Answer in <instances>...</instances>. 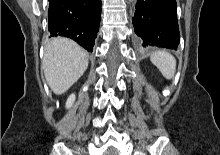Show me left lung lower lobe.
I'll return each mask as SVG.
<instances>
[{
    "label": "left lung lower lobe",
    "instance_id": "0a47b994",
    "mask_svg": "<svg viewBox=\"0 0 220 155\" xmlns=\"http://www.w3.org/2000/svg\"><path fill=\"white\" fill-rule=\"evenodd\" d=\"M133 25L140 46L176 49L180 42L176 0H137Z\"/></svg>",
    "mask_w": 220,
    "mask_h": 155
}]
</instances>
